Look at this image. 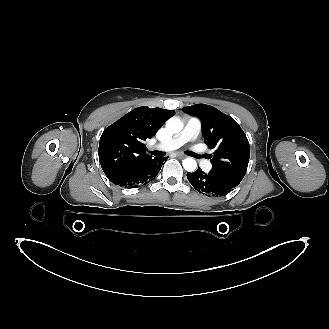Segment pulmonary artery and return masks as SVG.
I'll use <instances>...</instances> for the list:
<instances>
[{
    "label": "pulmonary artery",
    "mask_w": 329,
    "mask_h": 329,
    "mask_svg": "<svg viewBox=\"0 0 329 329\" xmlns=\"http://www.w3.org/2000/svg\"><path fill=\"white\" fill-rule=\"evenodd\" d=\"M200 129L201 121L196 117H192L186 122L183 130L180 133L160 143L158 148L164 151H172L181 147L187 142H193L197 138ZM198 156L201 159V155ZM201 166L205 171H209L211 169V164L205 160L201 161Z\"/></svg>",
    "instance_id": "1"
}]
</instances>
